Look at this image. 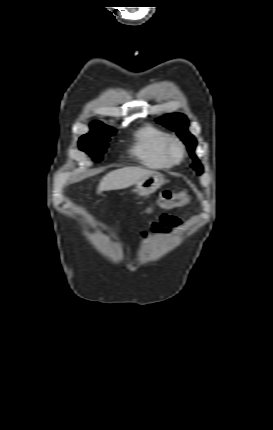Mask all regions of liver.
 <instances>
[{
	"label": "liver",
	"instance_id": "liver-1",
	"mask_svg": "<svg viewBox=\"0 0 273 430\" xmlns=\"http://www.w3.org/2000/svg\"><path fill=\"white\" fill-rule=\"evenodd\" d=\"M153 171L140 167H125L106 174L99 186L98 194L103 191L119 190L137 183L141 178L151 174Z\"/></svg>",
	"mask_w": 273,
	"mask_h": 430
}]
</instances>
